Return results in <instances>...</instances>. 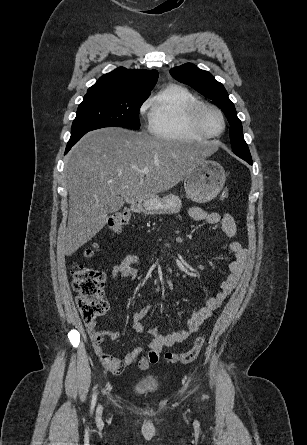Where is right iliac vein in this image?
<instances>
[{
    "mask_svg": "<svg viewBox=\"0 0 307 445\" xmlns=\"http://www.w3.org/2000/svg\"><path fill=\"white\" fill-rule=\"evenodd\" d=\"M97 413H98V415H100L102 413V407L101 406L98 407Z\"/></svg>",
    "mask_w": 307,
    "mask_h": 445,
    "instance_id": "obj_1",
    "label": "right iliac vein"
}]
</instances>
